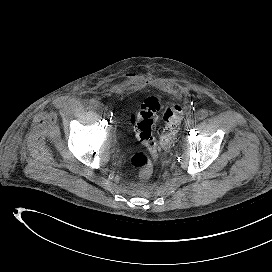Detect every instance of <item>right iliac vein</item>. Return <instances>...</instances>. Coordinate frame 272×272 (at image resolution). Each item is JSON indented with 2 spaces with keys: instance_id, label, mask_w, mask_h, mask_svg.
I'll return each instance as SVG.
<instances>
[{
  "instance_id": "right-iliac-vein-1",
  "label": "right iliac vein",
  "mask_w": 272,
  "mask_h": 272,
  "mask_svg": "<svg viewBox=\"0 0 272 272\" xmlns=\"http://www.w3.org/2000/svg\"><path fill=\"white\" fill-rule=\"evenodd\" d=\"M98 112L101 114H105L106 110L104 108V106L102 104H99V106L97 107Z\"/></svg>"
}]
</instances>
